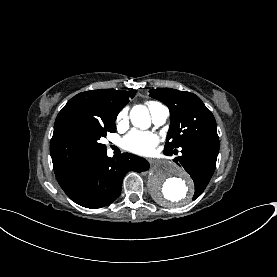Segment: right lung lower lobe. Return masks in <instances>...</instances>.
<instances>
[{"instance_id":"obj_1","label":"right lung lower lobe","mask_w":277,"mask_h":277,"mask_svg":"<svg viewBox=\"0 0 277 277\" xmlns=\"http://www.w3.org/2000/svg\"><path fill=\"white\" fill-rule=\"evenodd\" d=\"M149 163L141 157L123 153L117 159L107 151L73 160L54 168L56 179L75 203L86 208H101L115 201L129 171L142 172Z\"/></svg>"}]
</instances>
